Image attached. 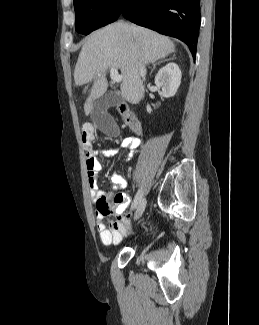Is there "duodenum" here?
Instances as JSON below:
<instances>
[{
    "mask_svg": "<svg viewBox=\"0 0 259 325\" xmlns=\"http://www.w3.org/2000/svg\"><path fill=\"white\" fill-rule=\"evenodd\" d=\"M117 109L130 130L135 134H140L141 123L130 107L126 103L121 102L117 104Z\"/></svg>",
    "mask_w": 259,
    "mask_h": 325,
    "instance_id": "obj_1",
    "label": "duodenum"
}]
</instances>
